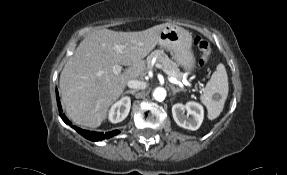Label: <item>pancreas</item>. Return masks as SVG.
<instances>
[{"label":"pancreas","mask_w":287,"mask_h":175,"mask_svg":"<svg viewBox=\"0 0 287 175\" xmlns=\"http://www.w3.org/2000/svg\"><path fill=\"white\" fill-rule=\"evenodd\" d=\"M156 59V62L161 64L163 68L168 72L169 76H173L177 79L182 78V72H180L177 64L173 62L163 50H155L148 57L147 62L150 64L153 59Z\"/></svg>","instance_id":"obj_1"}]
</instances>
